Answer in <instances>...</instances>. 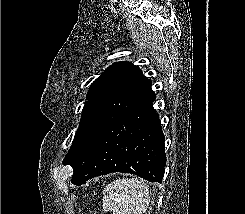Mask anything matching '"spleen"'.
I'll list each match as a JSON object with an SVG mask.
<instances>
[{
    "label": "spleen",
    "instance_id": "spleen-1",
    "mask_svg": "<svg viewBox=\"0 0 245 214\" xmlns=\"http://www.w3.org/2000/svg\"><path fill=\"white\" fill-rule=\"evenodd\" d=\"M103 195V210L113 214H144L149 206V186L138 178L117 179Z\"/></svg>",
    "mask_w": 245,
    "mask_h": 214
}]
</instances>
